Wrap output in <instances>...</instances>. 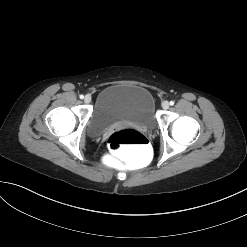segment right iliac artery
<instances>
[{
	"mask_svg": "<svg viewBox=\"0 0 247 247\" xmlns=\"http://www.w3.org/2000/svg\"><path fill=\"white\" fill-rule=\"evenodd\" d=\"M79 98H80V99H83V98H84V96H83V95H80V96H79Z\"/></svg>",
	"mask_w": 247,
	"mask_h": 247,
	"instance_id": "82829eb1",
	"label": "right iliac artery"
}]
</instances>
